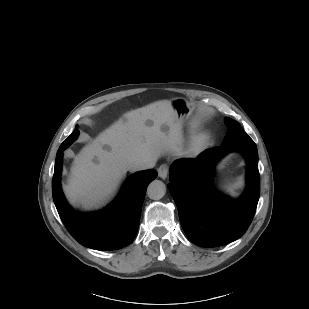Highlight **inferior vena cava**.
I'll use <instances>...</instances> for the list:
<instances>
[{
  "label": "inferior vena cava",
  "instance_id": "602c4592",
  "mask_svg": "<svg viewBox=\"0 0 309 309\" xmlns=\"http://www.w3.org/2000/svg\"><path fill=\"white\" fill-rule=\"evenodd\" d=\"M154 165H155V159L140 160L133 163L132 169L145 170L154 167Z\"/></svg>",
  "mask_w": 309,
  "mask_h": 309
}]
</instances>
